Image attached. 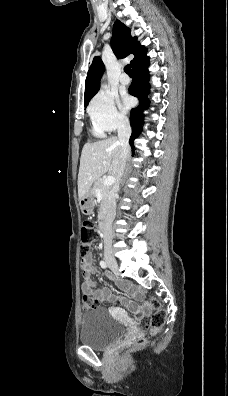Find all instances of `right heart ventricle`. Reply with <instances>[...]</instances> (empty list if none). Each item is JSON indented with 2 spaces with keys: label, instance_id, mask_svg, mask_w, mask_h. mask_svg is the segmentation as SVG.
<instances>
[{
  "label": "right heart ventricle",
  "instance_id": "1",
  "mask_svg": "<svg viewBox=\"0 0 228 396\" xmlns=\"http://www.w3.org/2000/svg\"><path fill=\"white\" fill-rule=\"evenodd\" d=\"M93 133H94L95 135H97V136H102L103 131L97 129V128L94 126V128H93Z\"/></svg>",
  "mask_w": 228,
  "mask_h": 396
}]
</instances>
